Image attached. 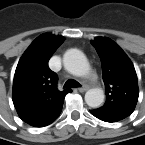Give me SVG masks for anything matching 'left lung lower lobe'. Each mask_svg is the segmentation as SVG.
I'll use <instances>...</instances> for the list:
<instances>
[{
    "label": "left lung lower lobe",
    "mask_w": 145,
    "mask_h": 145,
    "mask_svg": "<svg viewBox=\"0 0 145 145\" xmlns=\"http://www.w3.org/2000/svg\"><path fill=\"white\" fill-rule=\"evenodd\" d=\"M91 113H92L95 117H97L98 119L103 120V121H105V122H116V121L119 120V119H117V118H114V117H112V116H110V115H107V114H105V113H102V112L98 111V109L92 110Z\"/></svg>",
    "instance_id": "1"
}]
</instances>
